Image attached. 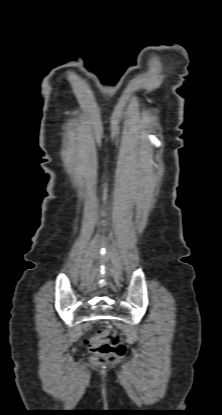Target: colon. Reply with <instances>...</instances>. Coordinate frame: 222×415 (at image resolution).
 <instances>
[{"instance_id":"obj_1","label":"colon","mask_w":222,"mask_h":415,"mask_svg":"<svg viewBox=\"0 0 222 415\" xmlns=\"http://www.w3.org/2000/svg\"><path fill=\"white\" fill-rule=\"evenodd\" d=\"M82 344L92 355L101 362H112L122 358L126 346L120 341L112 328H105L97 333L86 336Z\"/></svg>"}]
</instances>
